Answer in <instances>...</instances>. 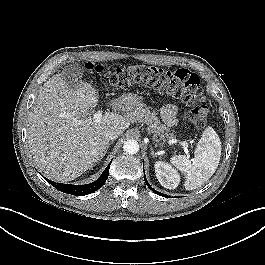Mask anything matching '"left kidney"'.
Masks as SVG:
<instances>
[{
    "instance_id": "1",
    "label": "left kidney",
    "mask_w": 265,
    "mask_h": 265,
    "mask_svg": "<svg viewBox=\"0 0 265 265\" xmlns=\"http://www.w3.org/2000/svg\"><path fill=\"white\" fill-rule=\"evenodd\" d=\"M156 177L160 184L167 189H175L180 182V175L168 163L158 161L154 165Z\"/></svg>"
}]
</instances>
